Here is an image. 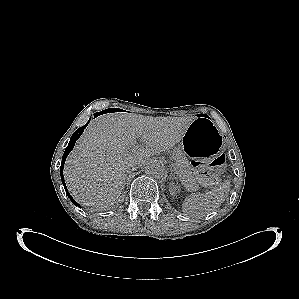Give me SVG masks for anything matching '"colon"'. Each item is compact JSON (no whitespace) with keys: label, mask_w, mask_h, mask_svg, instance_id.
<instances>
[{"label":"colon","mask_w":299,"mask_h":299,"mask_svg":"<svg viewBox=\"0 0 299 299\" xmlns=\"http://www.w3.org/2000/svg\"><path fill=\"white\" fill-rule=\"evenodd\" d=\"M196 177L205 184H214L218 175L224 170L226 158L223 154L218 155L210 162H191Z\"/></svg>","instance_id":"colon-1"}]
</instances>
